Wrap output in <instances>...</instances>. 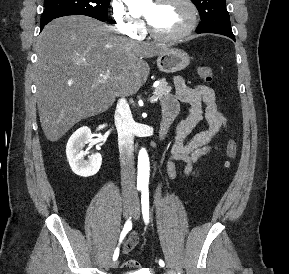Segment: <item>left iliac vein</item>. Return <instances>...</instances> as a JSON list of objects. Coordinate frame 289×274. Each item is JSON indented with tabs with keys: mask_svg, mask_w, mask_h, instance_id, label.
I'll return each mask as SVG.
<instances>
[{
	"mask_svg": "<svg viewBox=\"0 0 289 274\" xmlns=\"http://www.w3.org/2000/svg\"><path fill=\"white\" fill-rule=\"evenodd\" d=\"M140 215V205H139V201L136 200L134 203V207H133V217L134 219H138Z\"/></svg>",
	"mask_w": 289,
	"mask_h": 274,
	"instance_id": "1",
	"label": "left iliac vein"
}]
</instances>
